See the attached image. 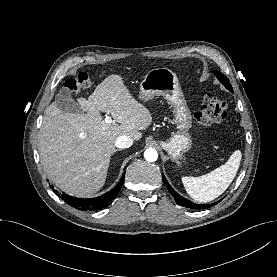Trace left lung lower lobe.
Returning a JSON list of instances; mask_svg holds the SVG:
<instances>
[{
    "instance_id": "obj_1",
    "label": "left lung lower lobe",
    "mask_w": 277,
    "mask_h": 277,
    "mask_svg": "<svg viewBox=\"0 0 277 277\" xmlns=\"http://www.w3.org/2000/svg\"><path fill=\"white\" fill-rule=\"evenodd\" d=\"M162 178H163V182L164 184L166 185L167 189L169 190L170 194L173 195L176 203L178 205H181V206H185L187 208H190V209H204V208H208L210 206H213L215 205L216 203H213V204H196V203H192L191 201L183 198L181 195H179L170 185L169 183L167 182L166 178L164 177V175L162 174Z\"/></svg>"
}]
</instances>
